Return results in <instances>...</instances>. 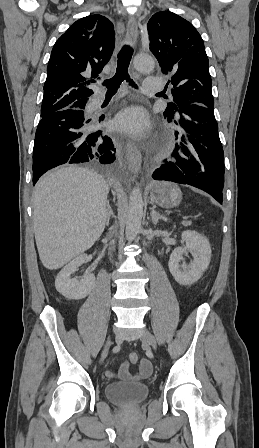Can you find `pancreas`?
Listing matches in <instances>:
<instances>
[{
	"label": "pancreas",
	"mask_w": 259,
	"mask_h": 448,
	"mask_svg": "<svg viewBox=\"0 0 259 448\" xmlns=\"http://www.w3.org/2000/svg\"><path fill=\"white\" fill-rule=\"evenodd\" d=\"M183 226H190V222H183Z\"/></svg>",
	"instance_id": "pancreas-1"
}]
</instances>
